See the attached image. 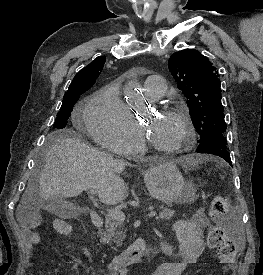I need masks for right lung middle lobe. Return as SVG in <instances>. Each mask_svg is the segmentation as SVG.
Listing matches in <instances>:
<instances>
[{"label": "right lung middle lobe", "mask_w": 263, "mask_h": 275, "mask_svg": "<svg viewBox=\"0 0 263 275\" xmlns=\"http://www.w3.org/2000/svg\"><path fill=\"white\" fill-rule=\"evenodd\" d=\"M85 91H87V89L65 93L63 97V103L55 119V128L63 129L67 125L68 118L70 117L74 104L78 100L79 96Z\"/></svg>", "instance_id": "1"}]
</instances>
